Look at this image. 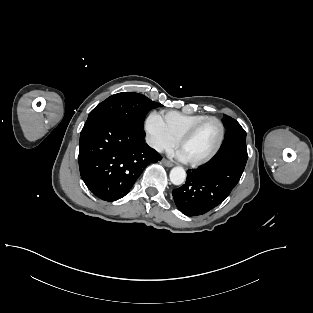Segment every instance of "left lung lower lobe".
<instances>
[{
	"instance_id": "0a47b994",
	"label": "left lung lower lobe",
	"mask_w": 313,
	"mask_h": 313,
	"mask_svg": "<svg viewBox=\"0 0 313 313\" xmlns=\"http://www.w3.org/2000/svg\"><path fill=\"white\" fill-rule=\"evenodd\" d=\"M246 142L220 147L207 164L189 170L184 185L173 190L177 208L186 216H197L219 205L239 182L247 162Z\"/></svg>"
}]
</instances>
